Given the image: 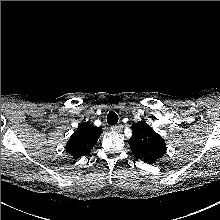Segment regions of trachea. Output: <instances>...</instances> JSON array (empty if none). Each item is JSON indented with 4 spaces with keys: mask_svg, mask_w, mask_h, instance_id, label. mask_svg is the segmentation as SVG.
<instances>
[{
    "mask_svg": "<svg viewBox=\"0 0 220 220\" xmlns=\"http://www.w3.org/2000/svg\"><path fill=\"white\" fill-rule=\"evenodd\" d=\"M118 122V115L114 111H110L107 115V123L109 125H115Z\"/></svg>",
    "mask_w": 220,
    "mask_h": 220,
    "instance_id": "trachea-1",
    "label": "trachea"
}]
</instances>
